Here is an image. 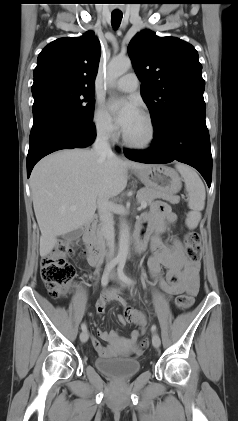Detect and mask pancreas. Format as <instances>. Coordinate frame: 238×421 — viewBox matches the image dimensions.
Here are the masks:
<instances>
[{
  "label": "pancreas",
  "mask_w": 238,
  "mask_h": 421,
  "mask_svg": "<svg viewBox=\"0 0 238 421\" xmlns=\"http://www.w3.org/2000/svg\"><path fill=\"white\" fill-rule=\"evenodd\" d=\"M157 198H162L172 203L176 202L175 197L152 188H142L137 194V201L141 204L146 203V205H150Z\"/></svg>",
  "instance_id": "pancreas-1"
}]
</instances>
